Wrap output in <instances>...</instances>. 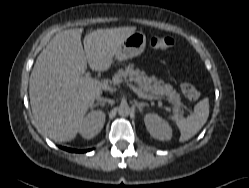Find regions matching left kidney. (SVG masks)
Masks as SVG:
<instances>
[{
  "mask_svg": "<svg viewBox=\"0 0 249 188\" xmlns=\"http://www.w3.org/2000/svg\"><path fill=\"white\" fill-rule=\"evenodd\" d=\"M145 126L150 135L161 141L170 140L172 128L169 123L154 113H148L144 117Z\"/></svg>",
  "mask_w": 249,
  "mask_h": 188,
  "instance_id": "1",
  "label": "left kidney"
}]
</instances>
